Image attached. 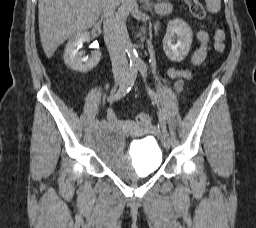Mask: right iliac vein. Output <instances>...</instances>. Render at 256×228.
<instances>
[{
  "label": "right iliac vein",
  "mask_w": 256,
  "mask_h": 228,
  "mask_svg": "<svg viewBox=\"0 0 256 228\" xmlns=\"http://www.w3.org/2000/svg\"><path fill=\"white\" fill-rule=\"evenodd\" d=\"M125 80H126V78L123 75H116L115 78H114L116 86H121L125 82ZM92 130L93 131H98L99 127L98 126H93Z\"/></svg>",
  "instance_id": "1"
}]
</instances>
